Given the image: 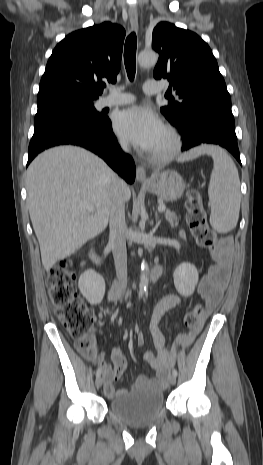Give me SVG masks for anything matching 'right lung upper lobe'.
I'll return each instance as SVG.
<instances>
[{"label": "right lung upper lobe", "instance_id": "obj_1", "mask_svg": "<svg viewBox=\"0 0 263 465\" xmlns=\"http://www.w3.org/2000/svg\"><path fill=\"white\" fill-rule=\"evenodd\" d=\"M125 34L121 26L104 22L67 35L48 60L37 101L58 96L97 99L103 81L116 82Z\"/></svg>", "mask_w": 263, "mask_h": 465}]
</instances>
